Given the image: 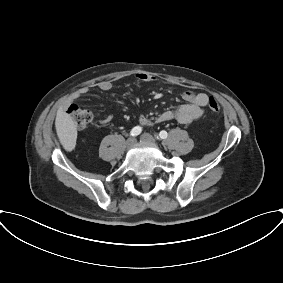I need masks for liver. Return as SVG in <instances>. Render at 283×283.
I'll return each mask as SVG.
<instances>
[{
  "label": "liver",
  "instance_id": "6515ba94",
  "mask_svg": "<svg viewBox=\"0 0 283 283\" xmlns=\"http://www.w3.org/2000/svg\"><path fill=\"white\" fill-rule=\"evenodd\" d=\"M55 127L60 143L66 151H72L76 145L77 130L74 121L63 108L56 114Z\"/></svg>",
  "mask_w": 283,
  "mask_h": 283
}]
</instances>
